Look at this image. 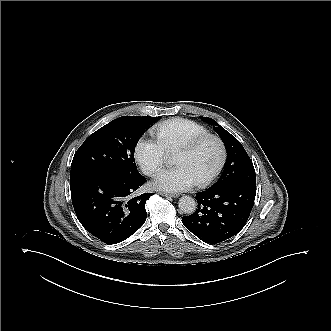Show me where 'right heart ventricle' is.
I'll use <instances>...</instances> for the list:
<instances>
[{"label": "right heart ventricle", "mask_w": 331, "mask_h": 331, "mask_svg": "<svg viewBox=\"0 0 331 331\" xmlns=\"http://www.w3.org/2000/svg\"><path fill=\"white\" fill-rule=\"evenodd\" d=\"M205 130L198 124L189 120H175L165 124L160 132V143L163 147L174 149L190 140L205 134Z\"/></svg>", "instance_id": "right-heart-ventricle-1"}]
</instances>
